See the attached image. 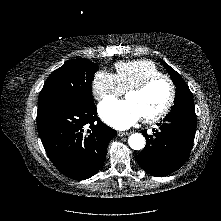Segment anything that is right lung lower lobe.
I'll return each mask as SVG.
<instances>
[{
    "label": "right lung lower lobe",
    "mask_w": 221,
    "mask_h": 221,
    "mask_svg": "<svg viewBox=\"0 0 221 221\" xmlns=\"http://www.w3.org/2000/svg\"><path fill=\"white\" fill-rule=\"evenodd\" d=\"M37 128L51 162L63 175L75 180L98 172L108 142L117 134L100 121L91 97L39 107Z\"/></svg>",
    "instance_id": "right-lung-lower-lobe-1"
}]
</instances>
